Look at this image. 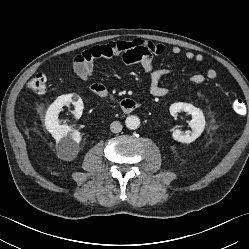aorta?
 Masks as SVG:
<instances>
[{"label": "aorta", "instance_id": "1", "mask_svg": "<svg viewBox=\"0 0 249 249\" xmlns=\"http://www.w3.org/2000/svg\"><path fill=\"white\" fill-rule=\"evenodd\" d=\"M125 124L128 129L135 130L140 126V119L135 115H131L126 118Z\"/></svg>", "mask_w": 249, "mask_h": 249}]
</instances>
